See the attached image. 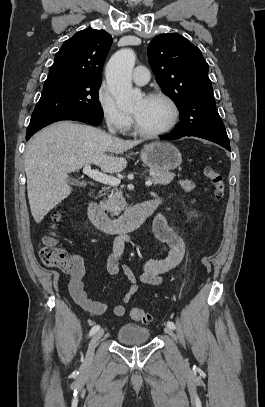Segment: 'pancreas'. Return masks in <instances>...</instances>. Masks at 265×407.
Returning a JSON list of instances; mask_svg holds the SVG:
<instances>
[{
	"instance_id": "1",
	"label": "pancreas",
	"mask_w": 265,
	"mask_h": 407,
	"mask_svg": "<svg viewBox=\"0 0 265 407\" xmlns=\"http://www.w3.org/2000/svg\"><path fill=\"white\" fill-rule=\"evenodd\" d=\"M151 173V180L155 185H167L175 177L174 173L168 171L151 170ZM101 205L110 213L118 215L126 207V201L121 191L116 190L114 192L112 190L111 194L108 195V198Z\"/></svg>"
}]
</instances>
